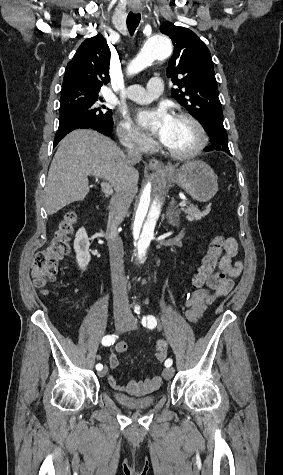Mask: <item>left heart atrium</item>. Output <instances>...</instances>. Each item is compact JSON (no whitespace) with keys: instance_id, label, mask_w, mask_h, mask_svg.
Instances as JSON below:
<instances>
[{"instance_id":"39dd6f15","label":"left heart atrium","mask_w":283,"mask_h":475,"mask_svg":"<svg viewBox=\"0 0 283 475\" xmlns=\"http://www.w3.org/2000/svg\"><path fill=\"white\" fill-rule=\"evenodd\" d=\"M137 120L141 127L152 130L159 139L165 140L169 135L168 129L173 118L165 107H160L140 111Z\"/></svg>"}]
</instances>
